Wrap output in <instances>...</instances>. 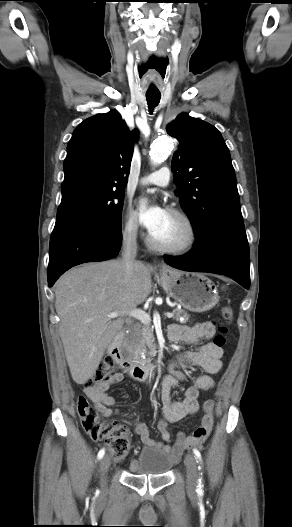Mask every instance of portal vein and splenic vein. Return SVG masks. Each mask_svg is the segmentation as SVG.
<instances>
[{
    "instance_id": "1",
    "label": "portal vein and splenic vein",
    "mask_w": 292,
    "mask_h": 527,
    "mask_svg": "<svg viewBox=\"0 0 292 527\" xmlns=\"http://www.w3.org/2000/svg\"><path fill=\"white\" fill-rule=\"evenodd\" d=\"M128 316L130 317H133L135 319H138L139 321H141L142 323L144 324H150L151 322V317L148 313H146L145 311H142L140 309H133L129 312L126 313ZM173 313H166V316L168 318H172L173 317ZM119 316V313L118 312H113V313H110L107 315L108 318H116Z\"/></svg>"
}]
</instances>
